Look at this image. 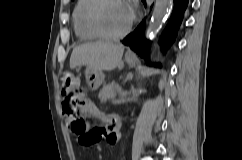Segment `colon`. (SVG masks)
Instances as JSON below:
<instances>
[{
	"label": "colon",
	"mask_w": 242,
	"mask_h": 160,
	"mask_svg": "<svg viewBox=\"0 0 242 160\" xmlns=\"http://www.w3.org/2000/svg\"><path fill=\"white\" fill-rule=\"evenodd\" d=\"M61 93L66 99L64 113L74 119L73 129L79 135L80 143L93 145L100 135V130L88 129L84 117L91 112L84 98V92L78 81L69 71H63L60 75Z\"/></svg>",
	"instance_id": "obj_1"
}]
</instances>
